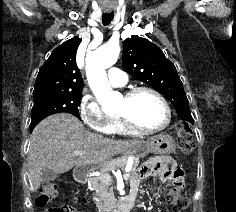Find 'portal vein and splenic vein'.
<instances>
[{
  "instance_id": "obj_1",
  "label": "portal vein and splenic vein",
  "mask_w": 236,
  "mask_h": 212,
  "mask_svg": "<svg viewBox=\"0 0 236 212\" xmlns=\"http://www.w3.org/2000/svg\"><path fill=\"white\" fill-rule=\"evenodd\" d=\"M74 155H75V156H80V155H82V153L79 152V151H74ZM126 172H128V170H126ZM128 177H129V176H128L127 173H125V174L123 175V178H124V179H128ZM102 178H103L104 181L111 182V176H110V175H107V174H106V175H103Z\"/></svg>"
}]
</instances>
